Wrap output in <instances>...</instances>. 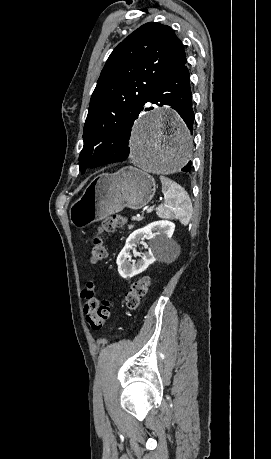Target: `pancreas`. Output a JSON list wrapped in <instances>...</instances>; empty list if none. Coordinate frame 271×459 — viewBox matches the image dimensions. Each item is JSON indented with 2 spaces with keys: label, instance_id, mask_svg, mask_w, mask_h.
I'll use <instances>...</instances> for the list:
<instances>
[{
  "label": "pancreas",
  "instance_id": "pancreas-1",
  "mask_svg": "<svg viewBox=\"0 0 271 459\" xmlns=\"http://www.w3.org/2000/svg\"><path fill=\"white\" fill-rule=\"evenodd\" d=\"M132 220H137V222H140V220H143L142 216L141 218H135V216H133ZM129 229H132L133 226H128Z\"/></svg>",
  "mask_w": 271,
  "mask_h": 459
}]
</instances>
